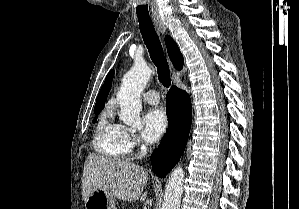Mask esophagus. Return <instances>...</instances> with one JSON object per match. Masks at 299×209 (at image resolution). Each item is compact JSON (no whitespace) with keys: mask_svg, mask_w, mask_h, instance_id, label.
<instances>
[{"mask_svg":"<svg viewBox=\"0 0 299 209\" xmlns=\"http://www.w3.org/2000/svg\"><path fill=\"white\" fill-rule=\"evenodd\" d=\"M153 21H154V24L156 26V28L158 29V31L164 35L166 33V27L162 21V19L159 17V16H154L153 17ZM170 67H171V73L172 75L174 76L176 74V70L175 68L172 66V64L170 63Z\"/></svg>","mask_w":299,"mask_h":209,"instance_id":"34e87169","label":"esophagus"}]
</instances>
